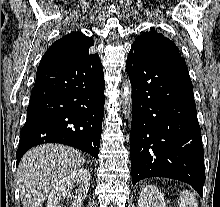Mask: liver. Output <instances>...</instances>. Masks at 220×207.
I'll list each match as a JSON object with an SVG mask.
<instances>
[{
    "label": "liver",
    "instance_id": "obj_1",
    "mask_svg": "<svg viewBox=\"0 0 220 207\" xmlns=\"http://www.w3.org/2000/svg\"><path fill=\"white\" fill-rule=\"evenodd\" d=\"M83 165L81 153L68 146L44 144L30 149L16 176L23 207H42L51 188Z\"/></svg>",
    "mask_w": 220,
    "mask_h": 207
}]
</instances>
